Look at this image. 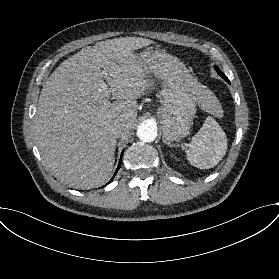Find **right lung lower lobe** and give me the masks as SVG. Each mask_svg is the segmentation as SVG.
I'll list each match as a JSON object with an SVG mask.
<instances>
[{
    "label": "right lung lower lobe",
    "instance_id": "98d812e1",
    "mask_svg": "<svg viewBox=\"0 0 279 279\" xmlns=\"http://www.w3.org/2000/svg\"><path fill=\"white\" fill-rule=\"evenodd\" d=\"M122 155H123V152H122V154H121V157H122ZM120 165H121V159H120V161H119L118 167H117V169H116V171H115V173H114V175H113L111 181L113 180L114 176L116 175L117 171L119 170ZM111 181H110V182H111ZM110 182H109V183H110Z\"/></svg>",
    "mask_w": 279,
    "mask_h": 279
}]
</instances>
